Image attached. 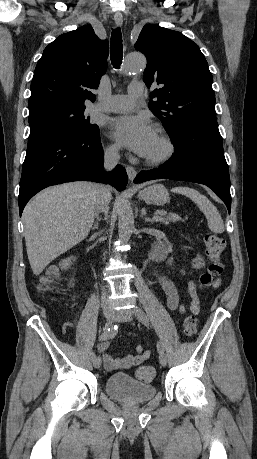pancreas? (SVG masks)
Segmentation results:
<instances>
[{
  "mask_svg": "<svg viewBox=\"0 0 257 459\" xmlns=\"http://www.w3.org/2000/svg\"><path fill=\"white\" fill-rule=\"evenodd\" d=\"M158 213H160L161 215H166V212L165 211H159ZM178 220H181V218L176 215V214H173V213H170L169 215L166 216V218L163 220V223H169L170 221H178Z\"/></svg>",
  "mask_w": 257,
  "mask_h": 459,
  "instance_id": "cf45deb5",
  "label": "pancreas"
}]
</instances>
